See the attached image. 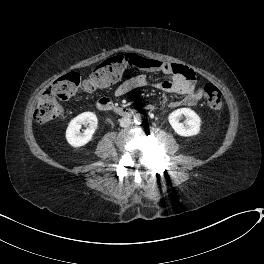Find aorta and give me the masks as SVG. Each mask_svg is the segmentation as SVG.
Listing matches in <instances>:
<instances>
[{
	"mask_svg": "<svg viewBox=\"0 0 264 264\" xmlns=\"http://www.w3.org/2000/svg\"><path fill=\"white\" fill-rule=\"evenodd\" d=\"M142 120H143V117L141 114L138 113V114L134 115V122L135 123L140 124L142 122Z\"/></svg>",
	"mask_w": 264,
	"mask_h": 264,
	"instance_id": "obj_1",
	"label": "aorta"
}]
</instances>
